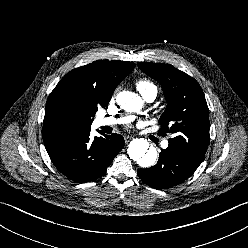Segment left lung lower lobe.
<instances>
[{"label": "left lung lower lobe", "mask_w": 248, "mask_h": 248, "mask_svg": "<svg viewBox=\"0 0 248 248\" xmlns=\"http://www.w3.org/2000/svg\"><path fill=\"white\" fill-rule=\"evenodd\" d=\"M197 162L173 146L161 149L157 164L148 169H138L140 179L155 189H167L189 178L198 168Z\"/></svg>", "instance_id": "obj_1"}]
</instances>
